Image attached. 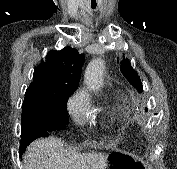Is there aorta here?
Masks as SVG:
<instances>
[{
    "label": "aorta",
    "mask_w": 177,
    "mask_h": 169,
    "mask_svg": "<svg viewBox=\"0 0 177 169\" xmlns=\"http://www.w3.org/2000/svg\"><path fill=\"white\" fill-rule=\"evenodd\" d=\"M105 64L101 58L93 59L87 66L84 83L90 91L98 92L103 86Z\"/></svg>",
    "instance_id": "762f6f07"
}]
</instances>
